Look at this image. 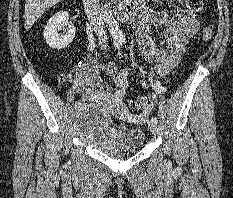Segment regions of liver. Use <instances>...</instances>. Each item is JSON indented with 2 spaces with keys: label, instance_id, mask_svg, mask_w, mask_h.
Returning <instances> with one entry per match:
<instances>
[{
  "label": "liver",
  "instance_id": "obj_1",
  "mask_svg": "<svg viewBox=\"0 0 233 198\" xmlns=\"http://www.w3.org/2000/svg\"><path fill=\"white\" fill-rule=\"evenodd\" d=\"M62 0H25V29L29 31L34 23L52 6Z\"/></svg>",
  "mask_w": 233,
  "mask_h": 198
}]
</instances>
